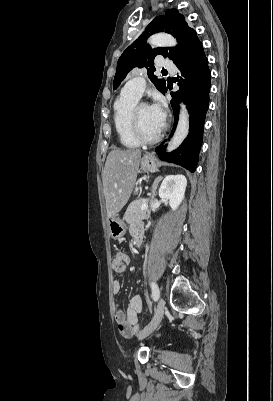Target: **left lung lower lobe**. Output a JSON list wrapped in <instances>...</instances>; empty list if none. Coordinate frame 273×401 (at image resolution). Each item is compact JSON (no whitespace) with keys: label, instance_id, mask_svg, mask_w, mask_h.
<instances>
[{"label":"left lung lower lobe","instance_id":"left-lung-lower-lobe-1","mask_svg":"<svg viewBox=\"0 0 273 401\" xmlns=\"http://www.w3.org/2000/svg\"><path fill=\"white\" fill-rule=\"evenodd\" d=\"M173 63L177 66L181 75V79H178V81L180 83L183 82V84H180L178 92L172 93V100L170 101L175 116L171 135L178 121L180 97L184 98V103L187 105L190 114V129L188 136L177 150L171 154L165 153L166 141H163L156 148V153L160 159L178 164L194 172L198 163L203 140V126L209 106L211 72L200 41H197L179 55ZM179 77L178 75L177 78ZM165 92H167V87Z\"/></svg>","mask_w":273,"mask_h":401}]
</instances>
